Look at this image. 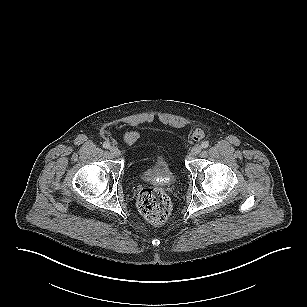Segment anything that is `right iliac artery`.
<instances>
[{"label": "right iliac artery", "instance_id": "82829eb1", "mask_svg": "<svg viewBox=\"0 0 307 307\" xmlns=\"http://www.w3.org/2000/svg\"><path fill=\"white\" fill-rule=\"evenodd\" d=\"M103 147H104L105 149L110 148V143H109V142H104V143H103Z\"/></svg>", "mask_w": 307, "mask_h": 307}]
</instances>
